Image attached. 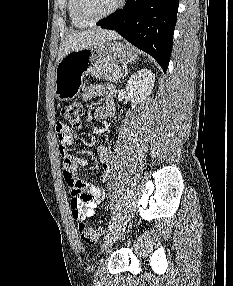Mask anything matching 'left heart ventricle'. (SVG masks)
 <instances>
[{
  "label": "left heart ventricle",
  "mask_w": 233,
  "mask_h": 286,
  "mask_svg": "<svg viewBox=\"0 0 233 286\" xmlns=\"http://www.w3.org/2000/svg\"><path fill=\"white\" fill-rule=\"evenodd\" d=\"M117 0H83V12L88 18H95L111 9Z\"/></svg>",
  "instance_id": "left-heart-ventricle-1"
}]
</instances>
